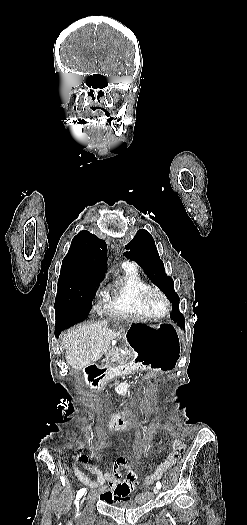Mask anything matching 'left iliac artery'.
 I'll return each mask as SVG.
<instances>
[{"mask_svg": "<svg viewBox=\"0 0 247 525\" xmlns=\"http://www.w3.org/2000/svg\"><path fill=\"white\" fill-rule=\"evenodd\" d=\"M156 487H157L158 489H160V488H161V483H160V482H157V483H156Z\"/></svg>", "mask_w": 247, "mask_h": 525, "instance_id": "obj_1", "label": "left iliac artery"}]
</instances>
